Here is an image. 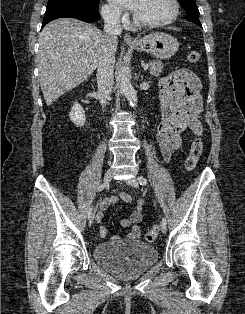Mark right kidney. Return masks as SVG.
<instances>
[{"label":"right kidney","instance_id":"1","mask_svg":"<svg viewBox=\"0 0 245 314\" xmlns=\"http://www.w3.org/2000/svg\"><path fill=\"white\" fill-rule=\"evenodd\" d=\"M70 120L76 125V126H84L85 124V112L82 108V106L75 102L70 113H69Z\"/></svg>","mask_w":245,"mask_h":314}]
</instances>
